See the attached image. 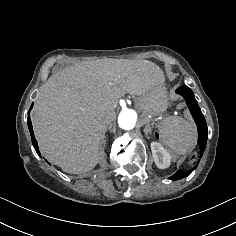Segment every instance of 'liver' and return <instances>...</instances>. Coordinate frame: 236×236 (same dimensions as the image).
<instances>
[{"mask_svg": "<svg viewBox=\"0 0 236 236\" xmlns=\"http://www.w3.org/2000/svg\"><path fill=\"white\" fill-rule=\"evenodd\" d=\"M156 84H164L163 72L147 60L103 58L51 75L33 115L42 154L65 172L90 171L105 158L100 145L119 99L143 98Z\"/></svg>", "mask_w": 236, "mask_h": 236, "instance_id": "obj_1", "label": "liver"}]
</instances>
